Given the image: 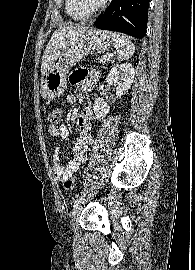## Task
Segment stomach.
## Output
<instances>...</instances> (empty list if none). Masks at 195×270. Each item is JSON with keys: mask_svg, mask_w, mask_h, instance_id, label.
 <instances>
[{"mask_svg": "<svg viewBox=\"0 0 195 270\" xmlns=\"http://www.w3.org/2000/svg\"><path fill=\"white\" fill-rule=\"evenodd\" d=\"M111 42L108 32L94 28L68 38L58 58L49 66L42 78V97L53 100L62 95L67 85L69 69L89 53L106 51Z\"/></svg>", "mask_w": 195, "mask_h": 270, "instance_id": "0dacf381", "label": "stomach"}]
</instances>
